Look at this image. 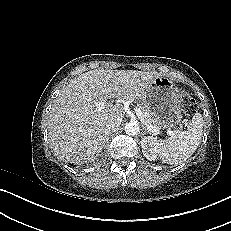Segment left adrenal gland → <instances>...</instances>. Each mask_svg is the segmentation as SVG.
<instances>
[{
  "instance_id": "obj_1",
  "label": "left adrenal gland",
  "mask_w": 231,
  "mask_h": 231,
  "mask_svg": "<svg viewBox=\"0 0 231 231\" xmlns=\"http://www.w3.org/2000/svg\"><path fill=\"white\" fill-rule=\"evenodd\" d=\"M143 130L146 131V129L144 127H143ZM143 134H144V132H143Z\"/></svg>"
}]
</instances>
